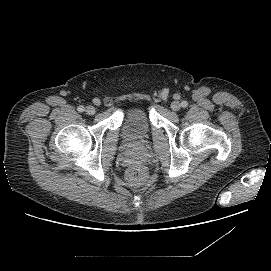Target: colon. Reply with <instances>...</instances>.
<instances>
[{
	"label": "colon",
	"instance_id": "5ec220e1",
	"mask_svg": "<svg viewBox=\"0 0 271 271\" xmlns=\"http://www.w3.org/2000/svg\"><path fill=\"white\" fill-rule=\"evenodd\" d=\"M146 171L140 165H134L127 171V180L132 185H141L146 180Z\"/></svg>",
	"mask_w": 271,
	"mask_h": 271
}]
</instances>
